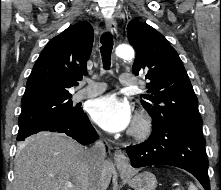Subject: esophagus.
<instances>
[{
    "label": "esophagus",
    "mask_w": 221,
    "mask_h": 190,
    "mask_svg": "<svg viewBox=\"0 0 221 190\" xmlns=\"http://www.w3.org/2000/svg\"><path fill=\"white\" fill-rule=\"evenodd\" d=\"M106 28L113 34L117 33V24L114 19L106 20ZM113 159L118 170L128 171L130 169L129 159L122 150L116 149L114 151Z\"/></svg>",
    "instance_id": "obj_1"
}]
</instances>
